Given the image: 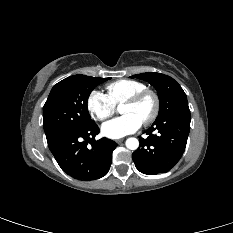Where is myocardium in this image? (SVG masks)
Wrapping results in <instances>:
<instances>
[{"label":"myocardium","mask_w":233,"mask_h":233,"mask_svg":"<svg viewBox=\"0 0 233 233\" xmlns=\"http://www.w3.org/2000/svg\"><path fill=\"white\" fill-rule=\"evenodd\" d=\"M146 97H151L154 101V109L151 113V115L142 122L143 125L147 126L150 125L151 123H153L160 112V98L158 96V94L150 89H145L142 90L134 95H132L131 97H129L127 100H125L122 105H136L138 104L140 101H142L144 98Z\"/></svg>","instance_id":"myocardium-1"}]
</instances>
